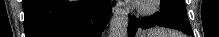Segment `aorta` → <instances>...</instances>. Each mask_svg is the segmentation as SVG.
<instances>
[{"instance_id":"762f6f07","label":"aorta","mask_w":219,"mask_h":37,"mask_svg":"<svg viewBox=\"0 0 219 37\" xmlns=\"http://www.w3.org/2000/svg\"><path fill=\"white\" fill-rule=\"evenodd\" d=\"M128 15L122 8L117 9L110 21L109 37H127Z\"/></svg>"}]
</instances>
